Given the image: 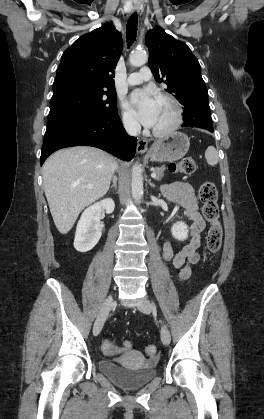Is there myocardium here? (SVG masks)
I'll return each mask as SVG.
<instances>
[{"label": "myocardium", "instance_id": "obj_1", "mask_svg": "<svg viewBox=\"0 0 264 419\" xmlns=\"http://www.w3.org/2000/svg\"><path fill=\"white\" fill-rule=\"evenodd\" d=\"M158 99L168 102L173 109V119L168 126L162 129H155V128L152 129L153 135L158 136V137H163V136L169 135L180 126L183 120V110L179 101L171 94L160 93L158 95Z\"/></svg>", "mask_w": 264, "mask_h": 419}]
</instances>
